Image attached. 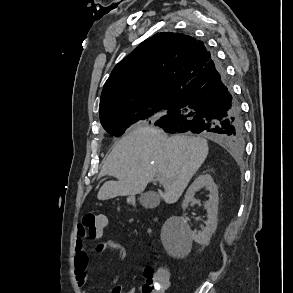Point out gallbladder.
<instances>
[{
    "label": "gallbladder",
    "instance_id": "gallbladder-1",
    "mask_svg": "<svg viewBox=\"0 0 293 293\" xmlns=\"http://www.w3.org/2000/svg\"><path fill=\"white\" fill-rule=\"evenodd\" d=\"M139 202L145 208H154L159 204L160 198L155 192H145L139 197Z\"/></svg>",
    "mask_w": 293,
    "mask_h": 293
}]
</instances>
